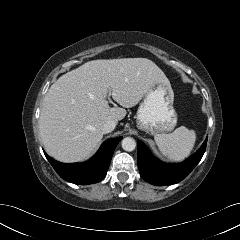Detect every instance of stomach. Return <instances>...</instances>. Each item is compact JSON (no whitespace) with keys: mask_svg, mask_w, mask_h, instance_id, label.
<instances>
[{"mask_svg":"<svg viewBox=\"0 0 240 240\" xmlns=\"http://www.w3.org/2000/svg\"><path fill=\"white\" fill-rule=\"evenodd\" d=\"M170 85L153 84L145 93L137 110V127L151 135L172 131L177 124Z\"/></svg>","mask_w":240,"mask_h":240,"instance_id":"1","label":"stomach"}]
</instances>
